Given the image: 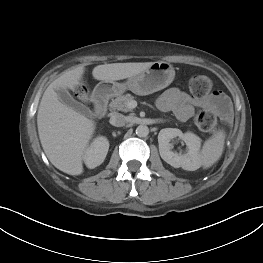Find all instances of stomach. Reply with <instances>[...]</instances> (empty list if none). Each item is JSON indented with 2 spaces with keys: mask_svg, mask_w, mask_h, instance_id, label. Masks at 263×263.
Listing matches in <instances>:
<instances>
[{
  "mask_svg": "<svg viewBox=\"0 0 263 263\" xmlns=\"http://www.w3.org/2000/svg\"><path fill=\"white\" fill-rule=\"evenodd\" d=\"M174 76L175 71L170 63L153 62L147 69L129 77L125 82H100L95 87L93 94L109 97L130 90L137 95H148L167 87L173 81Z\"/></svg>",
  "mask_w": 263,
  "mask_h": 263,
  "instance_id": "0dacf381",
  "label": "stomach"
}]
</instances>
